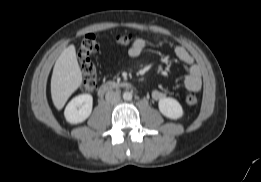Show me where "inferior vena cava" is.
<instances>
[{"instance_id": "inferior-vena-cava-1", "label": "inferior vena cava", "mask_w": 261, "mask_h": 182, "mask_svg": "<svg viewBox=\"0 0 261 182\" xmlns=\"http://www.w3.org/2000/svg\"><path fill=\"white\" fill-rule=\"evenodd\" d=\"M105 99L111 104H116L120 101V94L115 91H108L105 95Z\"/></svg>"}]
</instances>
